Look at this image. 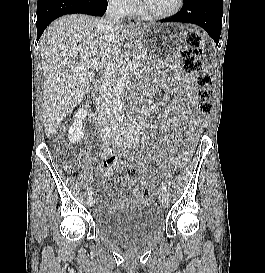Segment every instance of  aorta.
Returning a JSON list of instances; mask_svg holds the SVG:
<instances>
[{
    "label": "aorta",
    "instance_id": "762f6f07",
    "mask_svg": "<svg viewBox=\"0 0 265 273\" xmlns=\"http://www.w3.org/2000/svg\"><path fill=\"white\" fill-rule=\"evenodd\" d=\"M130 77V71H125L123 76L114 85L112 91V110L116 121L119 123L124 119L121 98L124 94L125 88L128 85Z\"/></svg>",
    "mask_w": 265,
    "mask_h": 273
}]
</instances>
